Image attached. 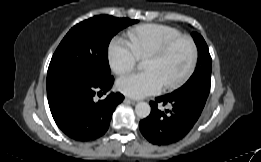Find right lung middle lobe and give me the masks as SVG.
Masks as SVG:
<instances>
[{
  "label": "right lung middle lobe",
  "mask_w": 261,
  "mask_h": 162,
  "mask_svg": "<svg viewBox=\"0 0 261 162\" xmlns=\"http://www.w3.org/2000/svg\"><path fill=\"white\" fill-rule=\"evenodd\" d=\"M137 20L98 15L75 25L56 49L47 72V85L82 77L98 83L111 77L107 49L111 38Z\"/></svg>",
  "instance_id": "right-lung-middle-lobe-1"
}]
</instances>
